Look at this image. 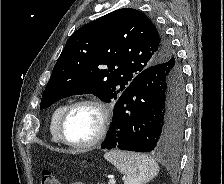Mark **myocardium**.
Segmentation results:
<instances>
[{"mask_svg": "<svg viewBox=\"0 0 224 184\" xmlns=\"http://www.w3.org/2000/svg\"><path fill=\"white\" fill-rule=\"evenodd\" d=\"M83 105H88L96 108L98 112L100 113V123L99 127L97 130L96 135L89 141L84 142V143H73L69 141L65 135V123L67 121V118L69 114L78 106H83ZM111 120H112V111L110 107L105 103L104 101L93 98V97H84V98H79L70 104H68L63 111L59 124H58V133H59V138L62 143L66 144L67 146L74 148V149H88L90 147H93L97 144H99L101 141L105 139L109 132V128L111 125Z\"/></svg>", "mask_w": 224, "mask_h": 184, "instance_id": "1", "label": "myocardium"}]
</instances>
